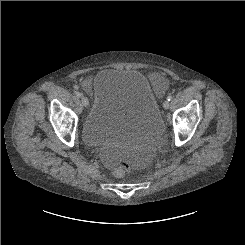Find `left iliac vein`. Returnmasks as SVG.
Instances as JSON below:
<instances>
[{"instance_id": "obj_1", "label": "left iliac vein", "mask_w": 245, "mask_h": 245, "mask_svg": "<svg viewBox=\"0 0 245 245\" xmlns=\"http://www.w3.org/2000/svg\"><path fill=\"white\" fill-rule=\"evenodd\" d=\"M169 107H170L169 101H168V100L164 101V103H163V108H164V109H168Z\"/></svg>"}]
</instances>
